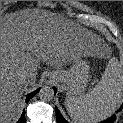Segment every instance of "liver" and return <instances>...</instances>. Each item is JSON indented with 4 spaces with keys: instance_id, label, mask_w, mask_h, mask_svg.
<instances>
[{
    "instance_id": "liver-1",
    "label": "liver",
    "mask_w": 123,
    "mask_h": 123,
    "mask_svg": "<svg viewBox=\"0 0 123 123\" xmlns=\"http://www.w3.org/2000/svg\"><path fill=\"white\" fill-rule=\"evenodd\" d=\"M101 39L46 11L23 10L1 18V123L18 118L22 93L35 85L40 62L61 68L101 53ZM28 72V82L21 79Z\"/></svg>"
}]
</instances>
